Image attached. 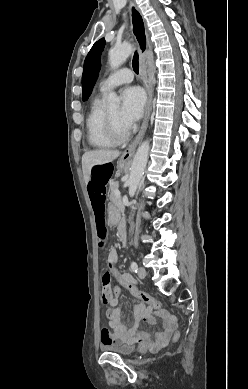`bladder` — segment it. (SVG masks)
Listing matches in <instances>:
<instances>
[{"label": "bladder", "instance_id": "obj_1", "mask_svg": "<svg viewBox=\"0 0 248 389\" xmlns=\"http://www.w3.org/2000/svg\"><path fill=\"white\" fill-rule=\"evenodd\" d=\"M101 349L104 352L116 353L122 356H130L135 352V346L126 344L117 338H113L111 342L102 344Z\"/></svg>", "mask_w": 248, "mask_h": 389}]
</instances>
